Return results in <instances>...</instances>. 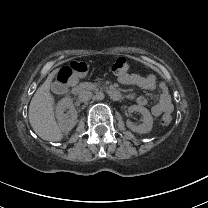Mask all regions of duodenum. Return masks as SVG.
Returning a JSON list of instances; mask_svg holds the SVG:
<instances>
[{"label":"duodenum","mask_w":208,"mask_h":208,"mask_svg":"<svg viewBox=\"0 0 208 208\" xmlns=\"http://www.w3.org/2000/svg\"><path fill=\"white\" fill-rule=\"evenodd\" d=\"M86 89H87L86 84H79V85H76L75 87H73L72 93L79 94ZM108 93L112 99L117 100V101L122 100L124 98V95L119 90H116V89H109Z\"/></svg>","instance_id":"410a0bca"}]
</instances>
